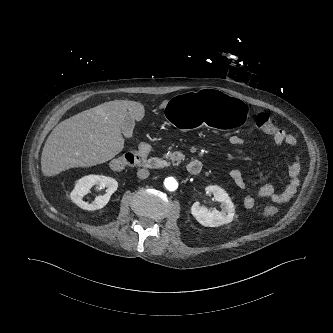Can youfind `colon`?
I'll return each instance as SVG.
<instances>
[{
	"label": "colon",
	"mask_w": 333,
	"mask_h": 333,
	"mask_svg": "<svg viewBox=\"0 0 333 333\" xmlns=\"http://www.w3.org/2000/svg\"><path fill=\"white\" fill-rule=\"evenodd\" d=\"M255 125L258 130L272 137L278 130L275 120L265 113H260L256 116ZM148 153L147 150L139 148L136 151L126 152L114 158L110 166L113 170L119 171L129 166L141 165L144 163ZM277 212L278 208L275 205H266L261 209V215L266 218L275 215Z\"/></svg>",
	"instance_id": "1"
}]
</instances>
